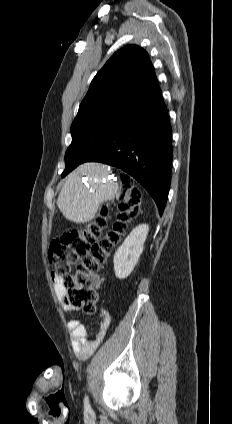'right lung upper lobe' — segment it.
I'll use <instances>...</instances> for the list:
<instances>
[{
	"label": "right lung upper lobe",
	"instance_id": "right-lung-upper-lobe-1",
	"mask_svg": "<svg viewBox=\"0 0 232 424\" xmlns=\"http://www.w3.org/2000/svg\"><path fill=\"white\" fill-rule=\"evenodd\" d=\"M160 91L147 52L128 45L114 53L93 78L78 113L103 104L134 105Z\"/></svg>",
	"mask_w": 232,
	"mask_h": 424
}]
</instances>
